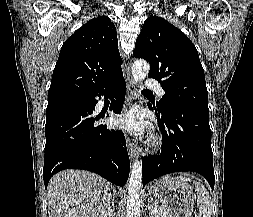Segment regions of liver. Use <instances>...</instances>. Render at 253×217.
<instances>
[{
	"label": "liver",
	"mask_w": 253,
	"mask_h": 217,
	"mask_svg": "<svg viewBox=\"0 0 253 217\" xmlns=\"http://www.w3.org/2000/svg\"><path fill=\"white\" fill-rule=\"evenodd\" d=\"M47 190L49 217H109L115 192L97 174L71 169L54 175Z\"/></svg>",
	"instance_id": "6515ba94"
}]
</instances>
